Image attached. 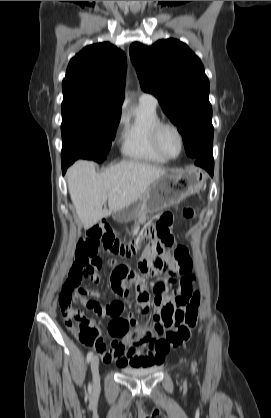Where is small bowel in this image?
<instances>
[{"mask_svg":"<svg viewBox=\"0 0 271 418\" xmlns=\"http://www.w3.org/2000/svg\"><path fill=\"white\" fill-rule=\"evenodd\" d=\"M166 254V247L161 242H153L145 250L144 259L138 264V269L133 270L125 265H118L110 273L111 289L113 297L106 299L102 305L101 299L86 298L80 300L85 307L92 309L93 314H102L100 321L104 323L109 337L113 339L110 348L103 345L97 349L105 363L115 362L117 365L125 367H148L160 365L170 349L160 350L157 343L161 336L156 329L162 325L161 314L165 308L176 309V300L184 297V284L181 280L179 285L173 282L169 273H179V266L174 257ZM156 259V260H155ZM155 260V261H154ZM99 266L97 269H100ZM166 276L164 282L156 283L154 286L155 297L153 303L147 291L146 284L148 277L153 275ZM99 277L96 273L94 282ZM136 288L134 301L135 309L139 313H148L151 306L155 308L154 328L151 330L146 325L139 326L137 319H130L129 314H122L123 307L126 305L124 299L130 297L129 286ZM185 285L192 290V279ZM90 295L100 298L98 291L91 292ZM131 328H135L131 330Z\"/></svg>","mask_w":271,"mask_h":418,"instance_id":"small-bowel-1","label":"small bowel"}]
</instances>
